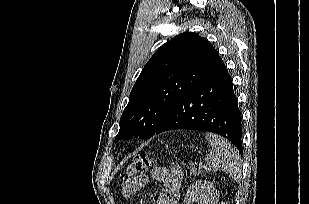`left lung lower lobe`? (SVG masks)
Here are the masks:
<instances>
[{"mask_svg":"<svg viewBox=\"0 0 309 204\" xmlns=\"http://www.w3.org/2000/svg\"><path fill=\"white\" fill-rule=\"evenodd\" d=\"M177 129L216 133L242 153L241 111L224 64L177 103L151 136ZM134 133L132 130L131 134Z\"/></svg>","mask_w":309,"mask_h":204,"instance_id":"0a47b994","label":"left lung lower lobe"}]
</instances>
